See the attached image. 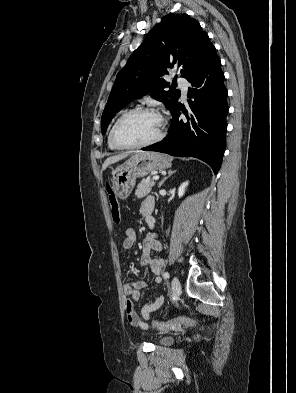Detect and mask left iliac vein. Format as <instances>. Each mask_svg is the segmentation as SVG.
<instances>
[{
    "label": "left iliac vein",
    "mask_w": 296,
    "mask_h": 393,
    "mask_svg": "<svg viewBox=\"0 0 296 393\" xmlns=\"http://www.w3.org/2000/svg\"><path fill=\"white\" fill-rule=\"evenodd\" d=\"M171 287L172 294L178 296L181 292V283L176 276L171 281Z\"/></svg>",
    "instance_id": "1"
}]
</instances>
